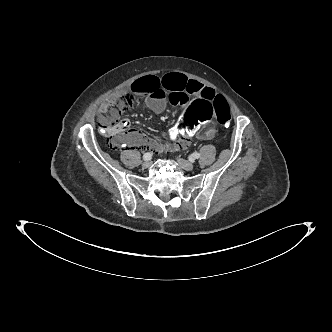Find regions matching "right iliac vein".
<instances>
[{"mask_svg":"<svg viewBox=\"0 0 332 332\" xmlns=\"http://www.w3.org/2000/svg\"><path fill=\"white\" fill-rule=\"evenodd\" d=\"M150 166H151V161L150 160L144 161L143 164H142L143 168H149Z\"/></svg>","mask_w":332,"mask_h":332,"instance_id":"63e3f726","label":"right iliac vein"}]
</instances>
